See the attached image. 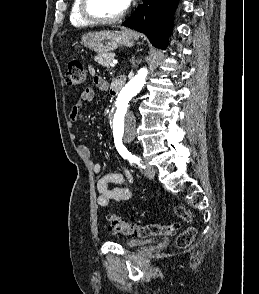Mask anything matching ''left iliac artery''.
<instances>
[{"instance_id": "left-iliac-artery-1", "label": "left iliac artery", "mask_w": 259, "mask_h": 294, "mask_svg": "<svg viewBox=\"0 0 259 294\" xmlns=\"http://www.w3.org/2000/svg\"><path fill=\"white\" fill-rule=\"evenodd\" d=\"M116 148L119 152V154L124 158V159H128L131 163H135L139 166H142L141 164V158H139L136 155L131 154V152H129L126 147H124V145L122 143H115ZM142 168H145V166H142Z\"/></svg>"}]
</instances>
